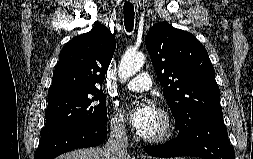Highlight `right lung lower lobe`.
<instances>
[{
    "label": "right lung lower lobe",
    "mask_w": 253,
    "mask_h": 159,
    "mask_svg": "<svg viewBox=\"0 0 253 159\" xmlns=\"http://www.w3.org/2000/svg\"><path fill=\"white\" fill-rule=\"evenodd\" d=\"M107 136L105 125L79 124L41 141L34 159H53L68 151L101 144Z\"/></svg>",
    "instance_id": "right-lung-lower-lobe-1"
}]
</instances>
